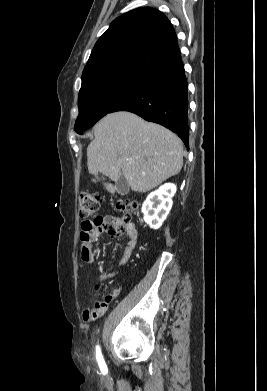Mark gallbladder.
Instances as JSON below:
<instances>
[{
    "label": "gallbladder",
    "instance_id": "bac80fb5",
    "mask_svg": "<svg viewBox=\"0 0 267 391\" xmlns=\"http://www.w3.org/2000/svg\"><path fill=\"white\" fill-rule=\"evenodd\" d=\"M115 187H116V191L122 196L128 194V192H129V186H128L127 180L125 179V177L123 175H121L119 177V179L117 180V182L115 184Z\"/></svg>",
    "mask_w": 267,
    "mask_h": 391
}]
</instances>
